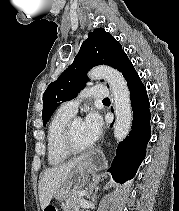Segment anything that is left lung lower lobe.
<instances>
[{
    "label": "left lung lower lobe",
    "mask_w": 179,
    "mask_h": 211,
    "mask_svg": "<svg viewBox=\"0 0 179 211\" xmlns=\"http://www.w3.org/2000/svg\"><path fill=\"white\" fill-rule=\"evenodd\" d=\"M118 70L124 75L130 90L133 124L129 136L119 143L108 172L116 182L124 183L135 176L145 158L146 146L151 136V115L146 88L127 56L120 62Z\"/></svg>",
    "instance_id": "obj_1"
}]
</instances>
